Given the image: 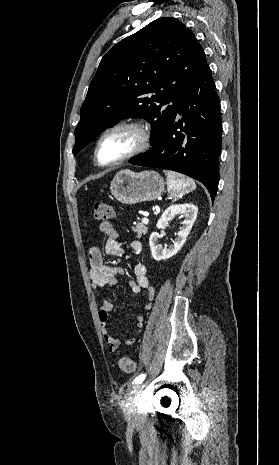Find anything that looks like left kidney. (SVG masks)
<instances>
[{"mask_svg": "<svg viewBox=\"0 0 279 465\" xmlns=\"http://www.w3.org/2000/svg\"><path fill=\"white\" fill-rule=\"evenodd\" d=\"M197 213V206L191 203L171 205L163 212L156 225L158 229L165 228L172 217L181 216L185 217V219L181 223L182 226L179 228L174 243L168 248H163L159 243V233L153 232L150 235L149 244L151 254L156 261L166 260L177 254L186 242V238L196 220Z\"/></svg>", "mask_w": 279, "mask_h": 465, "instance_id": "left-kidney-1", "label": "left kidney"}]
</instances>
